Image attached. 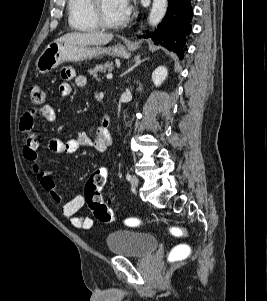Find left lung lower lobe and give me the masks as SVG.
<instances>
[{
	"instance_id": "obj_1",
	"label": "left lung lower lobe",
	"mask_w": 267,
	"mask_h": 301,
	"mask_svg": "<svg viewBox=\"0 0 267 301\" xmlns=\"http://www.w3.org/2000/svg\"><path fill=\"white\" fill-rule=\"evenodd\" d=\"M192 14L190 0H168L167 13L162 22L154 31L147 30L139 38L151 39L155 44L176 52L183 59L185 37L191 31Z\"/></svg>"
}]
</instances>
